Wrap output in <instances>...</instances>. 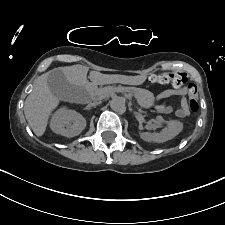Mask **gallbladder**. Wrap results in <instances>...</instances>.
<instances>
[{
    "mask_svg": "<svg viewBox=\"0 0 225 225\" xmlns=\"http://www.w3.org/2000/svg\"><path fill=\"white\" fill-rule=\"evenodd\" d=\"M47 84L52 94L63 101H76L82 93L79 87L68 82L64 72L59 68L48 73Z\"/></svg>",
    "mask_w": 225,
    "mask_h": 225,
    "instance_id": "gallbladder-1",
    "label": "gallbladder"
}]
</instances>
